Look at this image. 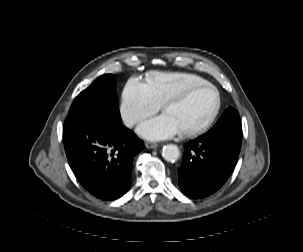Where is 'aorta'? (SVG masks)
Here are the masks:
<instances>
[{
	"mask_svg": "<svg viewBox=\"0 0 303 252\" xmlns=\"http://www.w3.org/2000/svg\"><path fill=\"white\" fill-rule=\"evenodd\" d=\"M162 156L168 162H175L179 159V148L174 144L165 145L162 149Z\"/></svg>",
	"mask_w": 303,
	"mask_h": 252,
	"instance_id": "aorta-1",
	"label": "aorta"
}]
</instances>
